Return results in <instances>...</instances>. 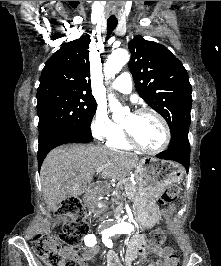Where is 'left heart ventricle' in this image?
<instances>
[{
  "label": "left heart ventricle",
  "instance_id": "left-heart-ventricle-1",
  "mask_svg": "<svg viewBox=\"0 0 221 266\" xmlns=\"http://www.w3.org/2000/svg\"><path fill=\"white\" fill-rule=\"evenodd\" d=\"M128 128L137 141L146 148L160 146L164 139V130L159 120L152 114H128L121 123Z\"/></svg>",
  "mask_w": 221,
  "mask_h": 266
}]
</instances>
